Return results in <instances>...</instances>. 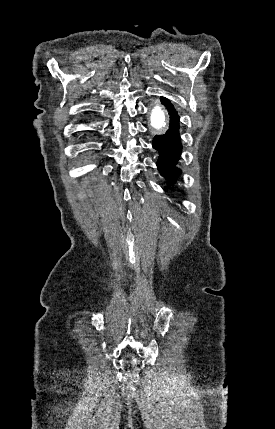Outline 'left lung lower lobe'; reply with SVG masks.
Here are the masks:
<instances>
[{
	"label": "left lung lower lobe",
	"mask_w": 275,
	"mask_h": 429,
	"mask_svg": "<svg viewBox=\"0 0 275 429\" xmlns=\"http://www.w3.org/2000/svg\"><path fill=\"white\" fill-rule=\"evenodd\" d=\"M162 100L167 106L171 122L169 130L165 135L154 138L153 147L160 154L157 162L159 171L168 180L174 182L181 173L180 169L175 167L182 150L179 135V116L167 99L162 98Z\"/></svg>",
	"instance_id": "0a47b994"
}]
</instances>
